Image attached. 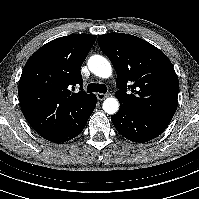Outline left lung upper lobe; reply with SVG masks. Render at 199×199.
Listing matches in <instances>:
<instances>
[{
    "mask_svg": "<svg viewBox=\"0 0 199 199\" xmlns=\"http://www.w3.org/2000/svg\"><path fill=\"white\" fill-rule=\"evenodd\" d=\"M117 72L115 96L135 110L170 123L176 109L178 77L168 57L143 39L124 33L98 36ZM130 88L131 93L127 92Z\"/></svg>",
    "mask_w": 199,
    "mask_h": 199,
    "instance_id": "1",
    "label": "left lung upper lobe"
}]
</instances>
